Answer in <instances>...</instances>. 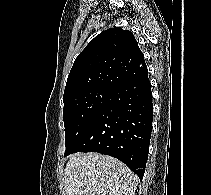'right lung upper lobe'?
I'll use <instances>...</instances> for the list:
<instances>
[{"mask_svg": "<svg viewBox=\"0 0 211 195\" xmlns=\"http://www.w3.org/2000/svg\"><path fill=\"white\" fill-rule=\"evenodd\" d=\"M148 72L131 31L110 28L97 35L75 59L63 99L81 91L112 89Z\"/></svg>", "mask_w": 211, "mask_h": 195, "instance_id": "right-lung-upper-lobe-1", "label": "right lung upper lobe"}]
</instances>
